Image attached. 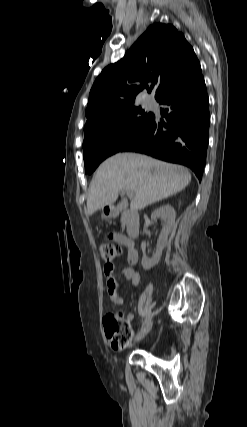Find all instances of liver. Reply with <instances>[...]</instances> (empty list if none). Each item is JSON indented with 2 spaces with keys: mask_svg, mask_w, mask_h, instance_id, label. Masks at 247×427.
Masks as SVG:
<instances>
[{
  "mask_svg": "<svg viewBox=\"0 0 247 427\" xmlns=\"http://www.w3.org/2000/svg\"><path fill=\"white\" fill-rule=\"evenodd\" d=\"M191 181L183 166L136 153H118L96 170L87 197V214L113 204L120 191L132 193L130 207L142 210L182 191Z\"/></svg>",
  "mask_w": 247,
  "mask_h": 427,
  "instance_id": "6515ba94",
  "label": "liver"
}]
</instances>
